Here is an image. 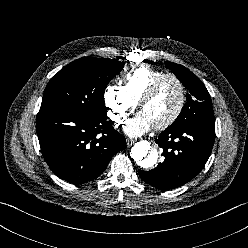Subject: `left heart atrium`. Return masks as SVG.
I'll return each mask as SVG.
<instances>
[{"mask_svg": "<svg viewBox=\"0 0 248 248\" xmlns=\"http://www.w3.org/2000/svg\"><path fill=\"white\" fill-rule=\"evenodd\" d=\"M151 127L152 124L146 115L139 112L135 117L125 123L123 131L131 137H137L146 133Z\"/></svg>", "mask_w": 248, "mask_h": 248, "instance_id": "obj_1", "label": "left heart atrium"}]
</instances>
